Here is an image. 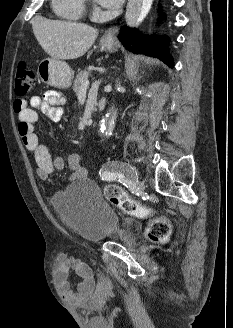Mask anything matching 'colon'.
<instances>
[{
    "label": "colon",
    "mask_w": 233,
    "mask_h": 328,
    "mask_svg": "<svg viewBox=\"0 0 233 328\" xmlns=\"http://www.w3.org/2000/svg\"><path fill=\"white\" fill-rule=\"evenodd\" d=\"M35 83V74L26 62L21 61L15 75V93L17 96H26ZM106 199L121 209L123 212L143 217L150 213V209L142 206L137 201L131 199L127 193L119 186L114 184L106 185L104 188ZM171 231L170 223L165 219L156 220L148 231L152 240L159 241L165 239Z\"/></svg>",
    "instance_id": "colon-1"
}]
</instances>
